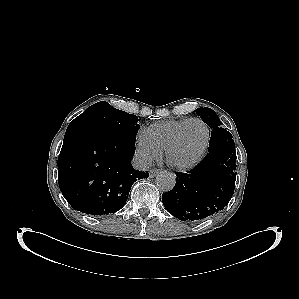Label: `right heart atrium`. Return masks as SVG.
Wrapping results in <instances>:
<instances>
[{"mask_svg": "<svg viewBox=\"0 0 299 299\" xmlns=\"http://www.w3.org/2000/svg\"><path fill=\"white\" fill-rule=\"evenodd\" d=\"M160 151L154 148L146 138L140 134L136 140L135 156L141 166L150 164L160 156Z\"/></svg>", "mask_w": 299, "mask_h": 299, "instance_id": "1", "label": "right heart atrium"}]
</instances>
